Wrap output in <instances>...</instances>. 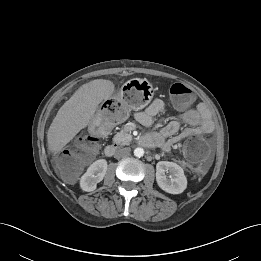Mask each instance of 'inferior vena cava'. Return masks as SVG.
I'll use <instances>...</instances> for the list:
<instances>
[{"label": "inferior vena cava", "instance_id": "inferior-vena-cava-1", "mask_svg": "<svg viewBox=\"0 0 261 261\" xmlns=\"http://www.w3.org/2000/svg\"><path fill=\"white\" fill-rule=\"evenodd\" d=\"M131 149L129 147H125V148H118L115 151V158H122V157H126L130 154Z\"/></svg>", "mask_w": 261, "mask_h": 261}]
</instances>
